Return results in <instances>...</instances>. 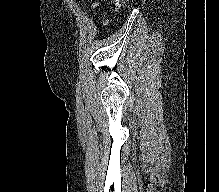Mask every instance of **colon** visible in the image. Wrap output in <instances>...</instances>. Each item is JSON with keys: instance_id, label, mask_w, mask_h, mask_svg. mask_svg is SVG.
<instances>
[{"instance_id": "5ec220e1", "label": "colon", "mask_w": 219, "mask_h": 192, "mask_svg": "<svg viewBox=\"0 0 219 192\" xmlns=\"http://www.w3.org/2000/svg\"><path fill=\"white\" fill-rule=\"evenodd\" d=\"M125 1H127V0H121V2H125Z\"/></svg>"}]
</instances>
